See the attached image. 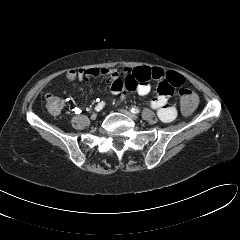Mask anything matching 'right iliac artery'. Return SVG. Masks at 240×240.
I'll use <instances>...</instances> for the list:
<instances>
[{
  "instance_id": "82829eb1",
  "label": "right iliac artery",
  "mask_w": 240,
  "mask_h": 240,
  "mask_svg": "<svg viewBox=\"0 0 240 240\" xmlns=\"http://www.w3.org/2000/svg\"><path fill=\"white\" fill-rule=\"evenodd\" d=\"M104 106H105V102L102 101L95 107V110L99 112L104 108Z\"/></svg>"
}]
</instances>
